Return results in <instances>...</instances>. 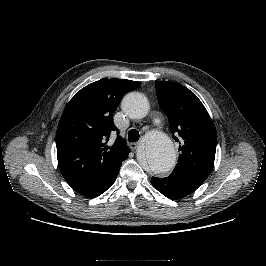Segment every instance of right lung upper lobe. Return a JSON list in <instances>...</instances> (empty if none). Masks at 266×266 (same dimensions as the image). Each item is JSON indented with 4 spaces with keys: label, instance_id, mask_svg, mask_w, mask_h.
Masks as SVG:
<instances>
[{
    "label": "right lung upper lobe",
    "instance_id": "right-lung-upper-lobe-1",
    "mask_svg": "<svg viewBox=\"0 0 266 266\" xmlns=\"http://www.w3.org/2000/svg\"><path fill=\"white\" fill-rule=\"evenodd\" d=\"M138 81L101 79L80 91L67 104L56 134L57 158L61 174L74 189L91 185L110 174L127 158L129 148L117 137L108 145L113 112ZM118 132V130H117Z\"/></svg>",
    "mask_w": 266,
    "mask_h": 266
}]
</instances>
